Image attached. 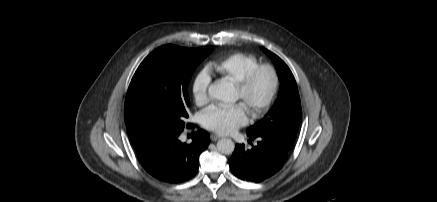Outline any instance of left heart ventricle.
<instances>
[{
	"label": "left heart ventricle",
	"mask_w": 437,
	"mask_h": 202,
	"mask_svg": "<svg viewBox=\"0 0 437 202\" xmlns=\"http://www.w3.org/2000/svg\"><path fill=\"white\" fill-rule=\"evenodd\" d=\"M271 87V78L268 72H260L255 78L251 89L246 97L243 96L239 88H236V98L243 101L245 106L250 109V104L262 101L269 93Z\"/></svg>",
	"instance_id": "left-heart-ventricle-1"
}]
</instances>
